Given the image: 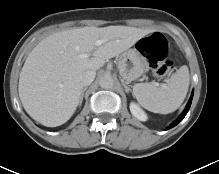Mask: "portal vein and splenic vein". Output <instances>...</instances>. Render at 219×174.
I'll list each match as a JSON object with an SVG mask.
<instances>
[{"label": "portal vein and splenic vein", "mask_w": 219, "mask_h": 174, "mask_svg": "<svg viewBox=\"0 0 219 174\" xmlns=\"http://www.w3.org/2000/svg\"><path fill=\"white\" fill-rule=\"evenodd\" d=\"M102 43H103L102 40H97L95 44L96 46H100ZM89 56L90 54H87V53L81 55L82 58H88Z\"/></svg>", "instance_id": "obj_1"}]
</instances>
